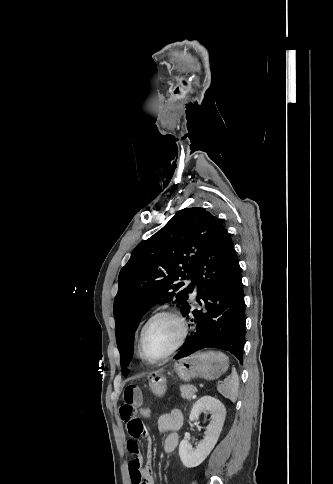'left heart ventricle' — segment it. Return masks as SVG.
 Instances as JSON below:
<instances>
[{
  "instance_id": "b2bd125f",
  "label": "left heart ventricle",
  "mask_w": 333,
  "mask_h": 484,
  "mask_svg": "<svg viewBox=\"0 0 333 484\" xmlns=\"http://www.w3.org/2000/svg\"><path fill=\"white\" fill-rule=\"evenodd\" d=\"M179 334L180 327L172 318L162 317L155 320L144 336L145 355L152 359L162 356L173 346Z\"/></svg>"
}]
</instances>
